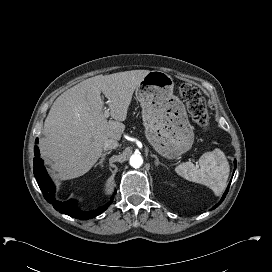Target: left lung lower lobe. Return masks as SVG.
I'll use <instances>...</instances> for the list:
<instances>
[{
  "label": "left lung lower lobe",
  "mask_w": 272,
  "mask_h": 272,
  "mask_svg": "<svg viewBox=\"0 0 272 272\" xmlns=\"http://www.w3.org/2000/svg\"><path fill=\"white\" fill-rule=\"evenodd\" d=\"M234 166H235V168H236V160H234ZM229 186H230V184L228 185V187H227V189H226V191H225V194L223 195V197H222V199L220 200V202H219L217 205H215V206L213 207V209L216 208L218 205H220V204L222 203V201H223L224 198H225V195L227 194V192H228V190H229Z\"/></svg>",
  "instance_id": "0a47b994"
}]
</instances>
